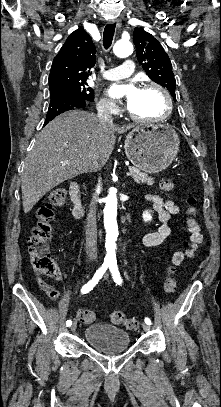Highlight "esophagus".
Segmentation results:
<instances>
[{"label":"esophagus","instance_id":"1","mask_svg":"<svg viewBox=\"0 0 221 407\" xmlns=\"http://www.w3.org/2000/svg\"><path fill=\"white\" fill-rule=\"evenodd\" d=\"M110 23L114 24V23H120V19H112L110 21Z\"/></svg>","mask_w":221,"mask_h":407}]
</instances>
